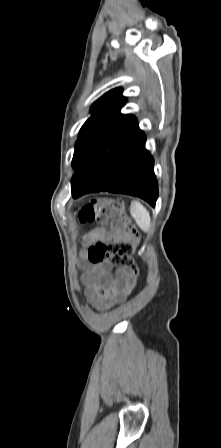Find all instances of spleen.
Returning <instances> with one entry per match:
<instances>
[{"label":"spleen","instance_id":"spleen-1","mask_svg":"<svg viewBox=\"0 0 221 448\" xmlns=\"http://www.w3.org/2000/svg\"><path fill=\"white\" fill-rule=\"evenodd\" d=\"M130 213L139 228L144 232H148L151 225V218L147 209L140 202L132 201Z\"/></svg>","mask_w":221,"mask_h":448}]
</instances>
